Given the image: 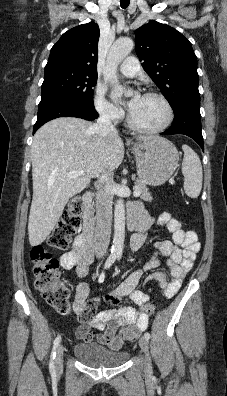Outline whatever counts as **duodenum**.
<instances>
[{
  "mask_svg": "<svg viewBox=\"0 0 227 396\" xmlns=\"http://www.w3.org/2000/svg\"><path fill=\"white\" fill-rule=\"evenodd\" d=\"M93 198L94 193L92 191H87L83 194L84 227L81 236L89 249L95 246V228L91 212ZM127 226L129 230H134L137 227V217L135 215L129 214Z\"/></svg>",
  "mask_w": 227,
  "mask_h": 396,
  "instance_id": "410a0bca",
  "label": "duodenum"
}]
</instances>
